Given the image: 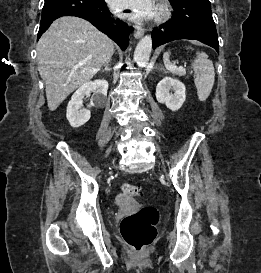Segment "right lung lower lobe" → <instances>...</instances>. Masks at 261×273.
Masks as SVG:
<instances>
[{
    "label": "right lung lower lobe",
    "mask_w": 261,
    "mask_h": 273,
    "mask_svg": "<svg viewBox=\"0 0 261 273\" xmlns=\"http://www.w3.org/2000/svg\"><path fill=\"white\" fill-rule=\"evenodd\" d=\"M61 16L86 19L114 40L122 50L128 46L130 28L119 19L118 26L111 25L113 19L104 0H45L37 38L48 29L53 20Z\"/></svg>",
    "instance_id": "1"
}]
</instances>
